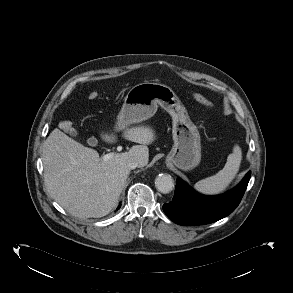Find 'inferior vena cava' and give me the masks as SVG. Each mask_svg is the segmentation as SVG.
Masks as SVG:
<instances>
[{"mask_svg": "<svg viewBox=\"0 0 293 293\" xmlns=\"http://www.w3.org/2000/svg\"><path fill=\"white\" fill-rule=\"evenodd\" d=\"M127 166L129 169H135L136 167H142L143 164L141 162L138 161H129L127 163Z\"/></svg>", "mask_w": 293, "mask_h": 293, "instance_id": "inferior-vena-cava-1", "label": "inferior vena cava"}]
</instances>
